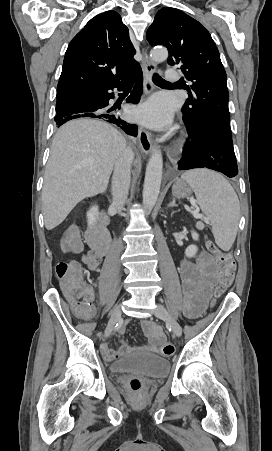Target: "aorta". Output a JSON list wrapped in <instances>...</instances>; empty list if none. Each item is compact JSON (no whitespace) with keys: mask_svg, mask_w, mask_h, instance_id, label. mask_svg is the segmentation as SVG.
<instances>
[{"mask_svg":"<svg viewBox=\"0 0 272 451\" xmlns=\"http://www.w3.org/2000/svg\"><path fill=\"white\" fill-rule=\"evenodd\" d=\"M152 62H164L168 58L166 48H154L150 52ZM163 160L161 150H153L147 164L145 182L143 186V206L145 210H153L159 196L162 180Z\"/></svg>","mask_w":272,"mask_h":451,"instance_id":"obj_1","label":"aorta"}]
</instances>
